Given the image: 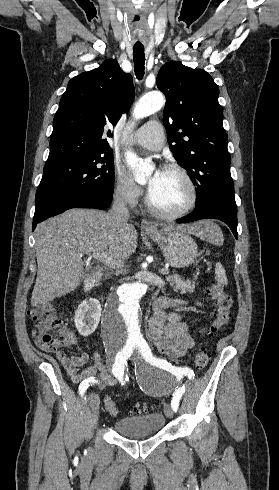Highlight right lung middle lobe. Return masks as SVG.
<instances>
[{
  "label": "right lung middle lobe",
  "instance_id": "obj_1",
  "mask_svg": "<svg viewBox=\"0 0 279 490\" xmlns=\"http://www.w3.org/2000/svg\"><path fill=\"white\" fill-rule=\"evenodd\" d=\"M114 170L111 149L83 157L47 162L35 201L50 193L89 192L113 195Z\"/></svg>",
  "mask_w": 279,
  "mask_h": 490
}]
</instances>
